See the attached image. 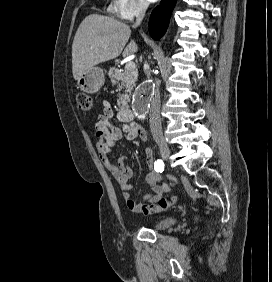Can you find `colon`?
<instances>
[{
	"label": "colon",
	"mask_w": 272,
	"mask_h": 282,
	"mask_svg": "<svg viewBox=\"0 0 272 282\" xmlns=\"http://www.w3.org/2000/svg\"><path fill=\"white\" fill-rule=\"evenodd\" d=\"M76 103L81 111H90L93 108V99L90 95L80 92L76 95ZM175 197L161 198L157 203L145 204L142 212L145 215L154 214L169 208L174 202Z\"/></svg>",
	"instance_id": "5ec220e1"
}]
</instances>
